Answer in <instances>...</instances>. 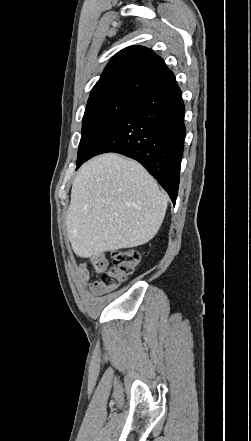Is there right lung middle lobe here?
Here are the masks:
<instances>
[{"instance_id":"1","label":"right lung middle lobe","mask_w":251,"mask_h":441,"mask_svg":"<svg viewBox=\"0 0 251 441\" xmlns=\"http://www.w3.org/2000/svg\"><path fill=\"white\" fill-rule=\"evenodd\" d=\"M137 100L138 98H109L87 104L82 122L77 166L88 158L95 145Z\"/></svg>"}]
</instances>
